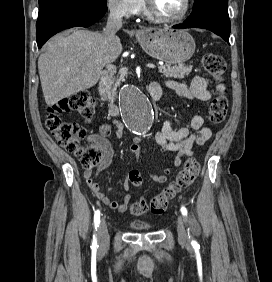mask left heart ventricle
I'll return each mask as SVG.
<instances>
[{"mask_svg":"<svg viewBox=\"0 0 272 282\" xmlns=\"http://www.w3.org/2000/svg\"><path fill=\"white\" fill-rule=\"evenodd\" d=\"M153 7L165 16H177L184 10V0H150Z\"/></svg>","mask_w":272,"mask_h":282,"instance_id":"1","label":"left heart ventricle"}]
</instances>
